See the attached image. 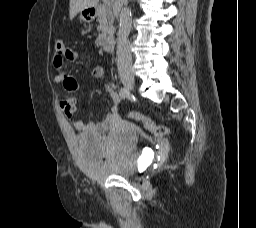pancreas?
Returning <instances> with one entry per match:
<instances>
[{
    "instance_id": "pancreas-1",
    "label": "pancreas",
    "mask_w": 256,
    "mask_h": 228,
    "mask_svg": "<svg viewBox=\"0 0 256 228\" xmlns=\"http://www.w3.org/2000/svg\"><path fill=\"white\" fill-rule=\"evenodd\" d=\"M98 22V31L106 34L112 30L113 15L110 2H104L102 5V8L98 14Z\"/></svg>"
}]
</instances>
